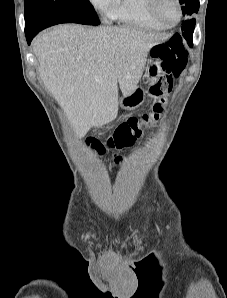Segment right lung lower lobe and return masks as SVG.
Wrapping results in <instances>:
<instances>
[{"label":"right lung lower lobe","instance_id":"right-lung-lower-lobe-1","mask_svg":"<svg viewBox=\"0 0 227 298\" xmlns=\"http://www.w3.org/2000/svg\"><path fill=\"white\" fill-rule=\"evenodd\" d=\"M39 32V30L30 32L26 34L27 43L30 44L34 36Z\"/></svg>","mask_w":227,"mask_h":298}]
</instances>
